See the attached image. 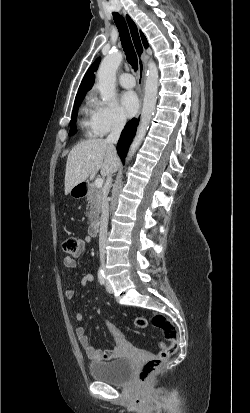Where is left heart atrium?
I'll list each match as a JSON object with an SVG mask.
<instances>
[{"mask_svg":"<svg viewBox=\"0 0 250 413\" xmlns=\"http://www.w3.org/2000/svg\"><path fill=\"white\" fill-rule=\"evenodd\" d=\"M120 101L127 116H133L136 114L139 107V102L137 95L133 91L124 92Z\"/></svg>","mask_w":250,"mask_h":413,"instance_id":"39dd6f15","label":"left heart atrium"}]
</instances>
